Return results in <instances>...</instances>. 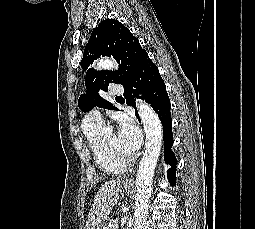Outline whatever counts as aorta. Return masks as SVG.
Segmentation results:
<instances>
[{
  "instance_id": "obj_1",
  "label": "aorta",
  "mask_w": 255,
  "mask_h": 229,
  "mask_svg": "<svg viewBox=\"0 0 255 229\" xmlns=\"http://www.w3.org/2000/svg\"><path fill=\"white\" fill-rule=\"evenodd\" d=\"M117 67V63L109 58L102 59L97 64V69L114 70ZM137 109L144 126L146 143L136 176L137 193L133 229H143L147 220L154 170L161 151L163 127L158 115L146 102L137 101Z\"/></svg>"
}]
</instances>
